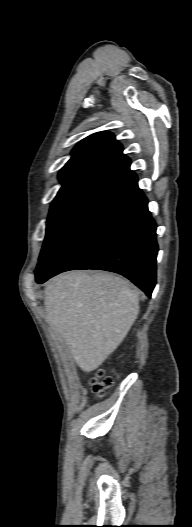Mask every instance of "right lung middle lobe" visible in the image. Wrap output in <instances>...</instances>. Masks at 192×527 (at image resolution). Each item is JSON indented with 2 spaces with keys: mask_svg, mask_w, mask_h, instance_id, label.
<instances>
[{
  "mask_svg": "<svg viewBox=\"0 0 192 527\" xmlns=\"http://www.w3.org/2000/svg\"><path fill=\"white\" fill-rule=\"evenodd\" d=\"M105 184L100 180H85L62 186L50 208L39 261Z\"/></svg>",
  "mask_w": 192,
  "mask_h": 527,
  "instance_id": "1",
  "label": "right lung middle lobe"
}]
</instances>
